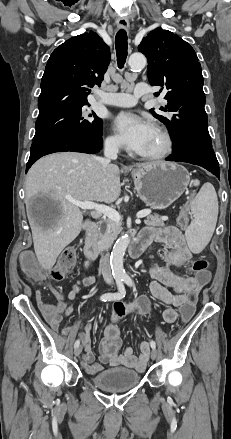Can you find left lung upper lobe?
I'll list each match as a JSON object with an SVG mask.
<instances>
[{"mask_svg":"<svg viewBox=\"0 0 231 439\" xmlns=\"http://www.w3.org/2000/svg\"><path fill=\"white\" fill-rule=\"evenodd\" d=\"M138 50L148 59L150 84L167 92L168 103L160 108L166 114L153 109L150 112L167 126L174 149L191 143L212 147L204 109V81L194 49L178 35L156 29L143 38Z\"/></svg>","mask_w":231,"mask_h":439,"instance_id":"1","label":"left lung upper lobe"}]
</instances>
